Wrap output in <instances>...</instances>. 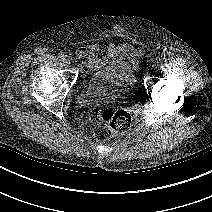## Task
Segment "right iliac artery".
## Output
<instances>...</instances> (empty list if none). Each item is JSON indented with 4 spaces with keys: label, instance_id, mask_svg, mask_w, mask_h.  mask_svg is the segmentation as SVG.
<instances>
[{
    "label": "right iliac artery",
    "instance_id": "82829eb1",
    "mask_svg": "<svg viewBox=\"0 0 212 212\" xmlns=\"http://www.w3.org/2000/svg\"><path fill=\"white\" fill-rule=\"evenodd\" d=\"M58 58H59L61 61H64L65 55H64V54H60V55L58 56Z\"/></svg>",
    "mask_w": 212,
    "mask_h": 212
}]
</instances>
